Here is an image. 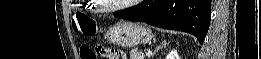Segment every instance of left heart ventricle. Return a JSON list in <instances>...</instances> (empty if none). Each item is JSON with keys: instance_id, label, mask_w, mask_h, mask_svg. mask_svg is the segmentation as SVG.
I'll list each match as a JSON object with an SVG mask.
<instances>
[{"instance_id": "1", "label": "left heart ventricle", "mask_w": 261, "mask_h": 59, "mask_svg": "<svg viewBox=\"0 0 261 59\" xmlns=\"http://www.w3.org/2000/svg\"><path fill=\"white\" fill-rule=\"evenodd\" d=\"M128 1L125 0H105V1H101V3L105 6H116V5H120L122 3H125Z\"/></svg>"}]
</instances>
